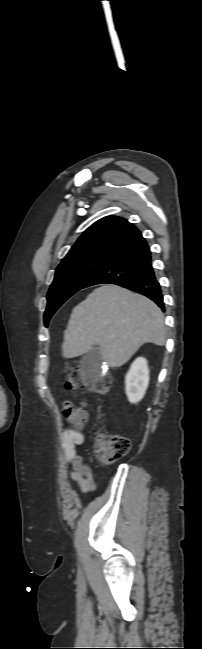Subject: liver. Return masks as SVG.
<instances>
[{
  "label": "liver",
  "mask_w": 202,
  "mask_h": 649,
  "mask_svg": "<svg viewBox=\"0 0 202 649\" xmlns=\"http://www.w3.org/2000/svg\"><path fill=\"white\" fill-rule=\"evenodd\" d=\"M161 309L147 297L117 285H102L72 310L64 331V358L86 354L98 344L110 367L125 364L144 344L163 346Z\"/></svg>",
  "instance_id": "6515ba94"
}]
</instances>
